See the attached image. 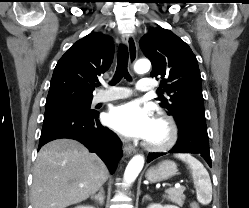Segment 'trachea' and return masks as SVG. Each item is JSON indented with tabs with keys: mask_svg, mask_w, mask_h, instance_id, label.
<instances>
[{
	"mask_svg": "<svg viewBox=\"0 0 249 208\" xmlns=\"http://www.w3.org/2000/svg\"><path fill=\"white\" fill-rule=\"evenodd\" d=\"M127 65H128V50L125 45H120L118 52L117 67L111 84H116L123 77L126 78L127 80H131V77L128 73Z\"/></svg>",
	"mask_w": 249,
	"mask_h": 208,
	"instance_id": "obj_1",
	"label": "trachea"
}]
</instances>
